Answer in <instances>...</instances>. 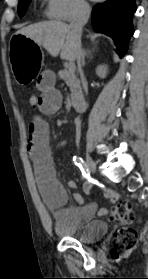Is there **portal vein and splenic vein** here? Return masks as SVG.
Instances as JSON below:
<instances>
[{"mask_svg": "<svg viewBox=\"0 0 148 279\" xmlns=\"http://www.w3.org/2000/svg\"><path fill=\"white\" fill-rule=\"evenodd\" d=\"M68 69H69L70 72L75 71V65H74V63H70Z\"/></svg>", "mask_w": 148, "mask_h": 279, "instance_id": "portal-vein-and-splenic-vein-1", "label": "portal vein and splenic vein"}]
</instances>
